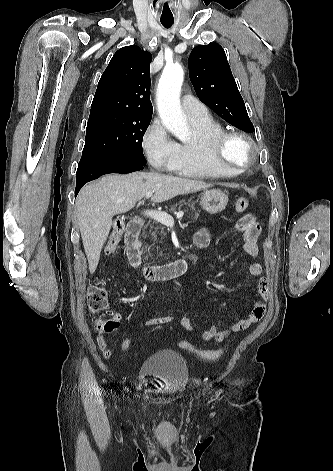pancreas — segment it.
<instances>
[{
	"label": "pancreas",
	"instance_id": "cf45deb5",
	"mask_svg": "<svg viewBox=\"0 0 333 471\" xmlns=\"http://www.w3.org/2000/svg\"><path fill=\"white\" fill-rule=\"evenodd\" d=\"M184 205H187L192 210V212H194V214H191V218L193 220H197L199 218L200 211L196 209L194 202H192L191 199L188 200L187 202L183 200L179 202L180 207ZM154 224H157V221L149 220V222L145 226V230L143 233L144 239L150 237L151 241L153 242L152 245H145V250L149 253V257L153 260V262H154V257H153L152 251L154 249L152 248V246L156 244L155 242H157V235H164V227H162L161 225L155 226ZM148 227L150 228L149 231L146 230ZM147 258L148 257H146V259Z\"/></svg>",
	"mask_w": 333,
	"mask_h": 471
}]
</instances>
